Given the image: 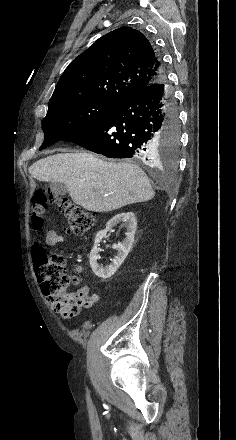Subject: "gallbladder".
<instances>
[{
  "mask_svg": "<svg viewBox=\"0 0 236 440\" xmlns=\"http://www.w3.org/2000/svg\"><path fill=\"white\" fill-rule=\"evenodd\" d=\"M50 189L58 196H64L68 193V189L65 184L61 182H51Z\"/></svg>",
  "mask_w": 236,
  "mask_h": 440,
  "instance_id": "1",
  "label": "gallbladder"
}]
</instances>
